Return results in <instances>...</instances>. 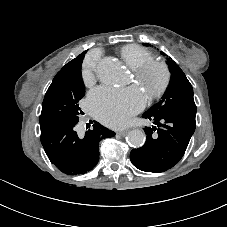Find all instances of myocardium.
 <instances>
[{"label": "myocardium", "mask_w": 227, "mask_h": 227, "mask_svg": "<svg viewBox=\"0 0 227 227\" xmlns=\"http://www.w3.org/2000/svg\"><path fill=\"white\" fill-rule=\"evenodd\" d=\"M154 71H159L161 73V80L155 86L153 91L150 93L149 95L150 100L161 97L167 90L171 80V73L169 67L163 61L151 60L142 64L137 69L133 70L135 79L141 85L148 79V77Z\"/></svg>", "instance_id": "obj_1"}]
</instances>
